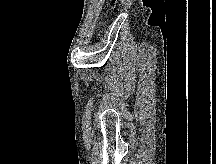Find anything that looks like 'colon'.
Instances as JSON below:
<instances>
[{
    "label": "colon",
    "instance_id": "5ec220e1",
    "mask_svg": "<svg viewBox=\"0 0 216 164\" xmlns=\"http://www.w3.org/2000/svg\"><path fill=\"white\" fill-rule=\"evenodd\" d=\"M117 4H118V0H112V10L113 11L116 9Z\"/></svg>",
    "mask_w": 216,
    "mask_h": 164
}]
</instances>
